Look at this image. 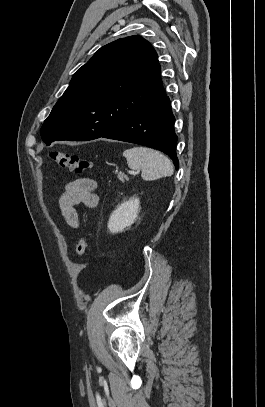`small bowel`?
Here are the masks:
<instances>
[{
    "mask_svg": "<svg viewBox=\"0 0 265 407\" xmlns=\"http://www.w3.org/2000/svg\"><path fill=\"white\" fill-rule=\"evenodd\" d=\"M97 182L94 179L81 177L69 182L59 199V209L65 223L71 228L77 229L80 225L77 205L87 208H95L98 204V196L95 193Z\"/></svg>",
    "mask_w": 265,
    "mask_h": 407,
    "instance_id": "obj_1",
    "label": "small bowel"
}]
</instances>
